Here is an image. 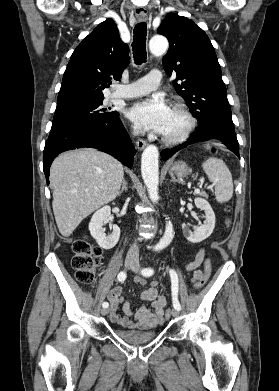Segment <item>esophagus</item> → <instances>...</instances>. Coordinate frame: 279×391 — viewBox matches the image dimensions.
<instances>
[{"label":"esophagus","mask_w":279,"mask_h":391,"mask_svg":"<svg viewBox=\"0 0 279 391\" xmlns=\"http://www.w3.org/2000/svg\"><path fill=\"white\" fill-rule=\"evenodd\" d=\"M138 18H139L140 20H145V19L147 18V14H140V15H138ZM146 145H147V142L144 141V140H142V139H139V140L137 141V148H138L139 150H142Z\"/></svg>","instance_id":"34e87169"}]
</instances>
